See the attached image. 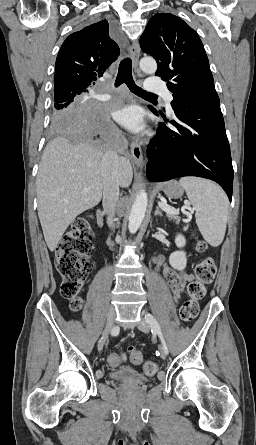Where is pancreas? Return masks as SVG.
<instances>
[{
  "label": "pancreas",
  "instance_id": "obj_1",
  "mask_svg": "<svg viewBox=\"0 0 256 445\" xmlns=\"http://www.w3.org/2000/svg\"><path fill=\"white\" fill-rule=\"evenodd\" d=\"M166 215H167V217L170 218V219H176V218H177L176 215H173V214H169V213H167Z\"/></svg>",
  "mask_w": 256,
  "mask_h": 445
}]
</instances>
